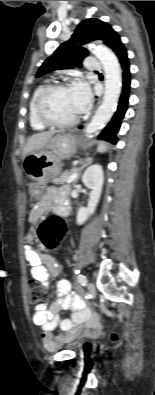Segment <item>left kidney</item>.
Returning <instances> with one entry per match:
<instances>
[{
    "label": "left kidney",
    "mask_w": 155,
    "mask_h": 395,
    "mask_svg": "<svg viewBox=\"0 0 155 395\" xmlns=\"http://www.w3.org/2000/svg\"><path fill=\"white\" fill-rule=\"evenodd\" d=\"M82 182L86 187L91 189V192L88 206L86 208L81 207L78 210L76 218L78 225L83 224L88 219V217L94 213L99 202L104 183V173L102 166L99 164H94L88 167L82 176Z\"/></svg>",
    "instance_id": "1"
}]
</instances>
